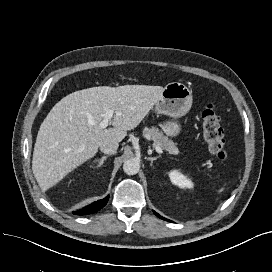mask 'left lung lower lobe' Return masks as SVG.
<instances>
[{
  "instance_id": "1",
  "label": "left lung lower lobe",
  "mask_w": 272,
  "mask_h": 272,
  "mask_svg": "<svg viewBox=\"0 0 272 272\" xmlns=\"http://www.w3.org/2000/svg\"><path fill=\"white\" fill-rule=\"evenodd\" d=\"M154 213H155V215H157L159 218H161V219H163V220H166V221H170V220H168V219H166V218L160 216L158 213H156V212H154ZM170 222H171V221H170Z\"/></svg>"
}]
</instances>
